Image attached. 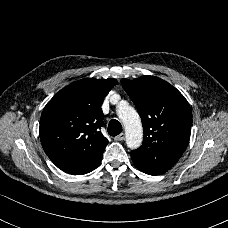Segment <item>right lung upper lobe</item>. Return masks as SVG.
Wrapping results in <instances>:
<instances>
[{
  "label": "right lung upper lobe",
  "instance_id": "1",
  "mask_svg": "<svg viewBox=\"0 0 228 228\" xmlns=\"http://www.w3.org/2000/svg\"><path fill=\"white\" fill-rule=\"evenodd\" d=\"M115 79L84 78L60 90L45 106L40 120L42 147L61 170L79 168L104 152L101 105Z\"/></svg>",
  "mask_w": 228,
  "mask_h": 228
}]
</instances>
